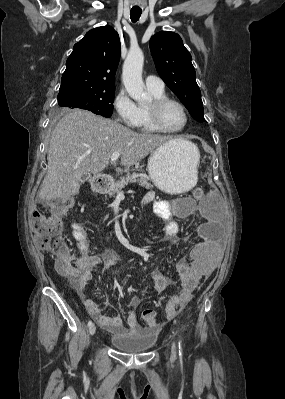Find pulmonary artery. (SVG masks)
Segmentation results:
<instances>
[{
	"label": "pulmonary artery",
	"instance_id": "pulmonary-artery-1",
	"mask_svg": "<svg viewBox=\"0 0 285 399\" xmlns=\"http://www.w3.org/2000/svg\"><path fill=\"white\" fill-rule=\"evenodd\" d=\"M145 83L149 90H160L164 89L163 81L155 76V75H148L145 77Z\"/></svg>",
	"mask_w": 285,
	"mask_h": 399
}]
</instances>
